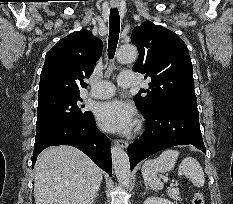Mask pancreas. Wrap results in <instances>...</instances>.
I'll list each match as a JSON object with an SVG mask.
<instances>
[{
	"mask_svg": "<svg viewBox=\"0 0 233 204\" xmlns=\"http://www.w3.org/2000/svg\"><path fill=\"white\" fill-rule=\"evenodd\" d=\"M167 194L170 198H172L174 200H178V201L182 200L180 195H179V189H177V188H172V187L168 188Z\"/></svg>",
	"mask_w": 233,
	"mask_h": 204,
	"instance_id": "pancreas-1",
	"label": "pancreas"
}]
</instances>
